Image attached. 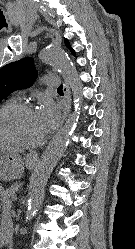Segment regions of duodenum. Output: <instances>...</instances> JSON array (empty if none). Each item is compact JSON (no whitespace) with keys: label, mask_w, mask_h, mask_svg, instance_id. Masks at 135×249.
Returning <instances> with one entry per match:
<instances>
[{"label":"duodenum","mask_w":135,"mask_h":249,"mask_svg":"<svg viewBox=\"0 0 135 249\" xmlns=\"http://www.w3.org/2000/svg\"><path fill=\"white\" fill-rule=\"evenodd\" d=\"M11 245H12V236L9 234L4 235L0 240V246L3 249H11Z\"/></svg>","instance_id":"duodenum-1"}]
</instances>
